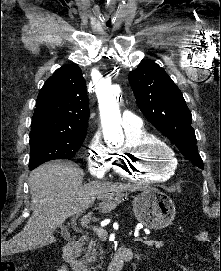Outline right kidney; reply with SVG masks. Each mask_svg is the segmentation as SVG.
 Returning a JSON list of instances; mask_svg holds the SVG:
<instances>
[{"mask_svg": "<svg viewBox=\"0 0 221 271\" xmlns=\"http://www.w3.org/2000/svg\"><path fill=\"white\" fill-rule=\"evenodd\" d=\"M57 271H69L67 265H61V267H59V269H57Z\"/></svg>", "mask_w": 221, "mask_h": 271, "instance_id": "obj_1", "label": "right kidney"}]
</instances>
